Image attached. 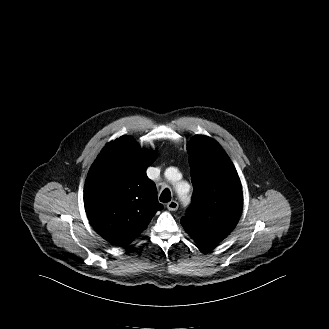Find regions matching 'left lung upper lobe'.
<instances>
[{
	"label": "left lung upper lobe",
	"instance_id": "5c2ea615",
	"mask_svg": "<svg viewBox=\"0 0 329 329\" xmlns=\"http://www.w3.org/2000/svg\"><path fill=\"white\" fill-rule=\"evenodd\" d=\"M193 201L181 224L194 241L220 242L236 226L243 207L242 186L225 151L197 135L188 143Z\"/></svg>",
	"mask_w": 329,
	"mask_h": 329
}]
</instances>
